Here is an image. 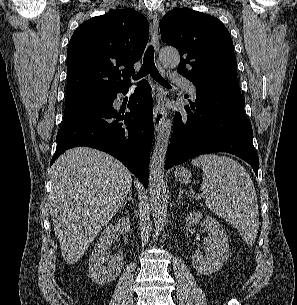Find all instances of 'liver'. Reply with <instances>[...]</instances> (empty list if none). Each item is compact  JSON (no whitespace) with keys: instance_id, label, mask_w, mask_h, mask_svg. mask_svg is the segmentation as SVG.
<instances>
[{"instance_id":"1","label":"liver","mask_w":297,"mask_h":305,"mask_svg":"<svg viewBox=\"0 0 297 305\" xmlns=\"http://www.w3.org/2000/svg\"><path fill=\"white\" fill-rule=\"evenodd\" d=\"M51 174L55 236L64 260L74 264L122 206L132 175L112 156L88 147L64 152Z\"/></svg>"}]
</instances>
